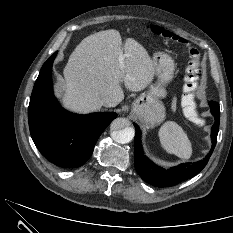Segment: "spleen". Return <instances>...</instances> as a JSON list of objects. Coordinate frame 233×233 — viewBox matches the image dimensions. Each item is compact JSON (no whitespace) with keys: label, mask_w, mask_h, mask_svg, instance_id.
<instances>
[{"label":"spleen","mask_w":233,"mask_h":233,"mask_svg":"<svg viewBox=\"0 0 233 233\" xmlns=\"http://www.w3.org/2000/svg\"><path fill=\"white\" fill-rule=\"evenodd\" d=\"M187 117L196 120L194 104L191 102L184 110ZM159 139L162 147L169 154H174L181 159H189L192 155V145L181 126L174 121H167L159 130Z\"/></svg>","instance_id":"1"}]
</instances>
